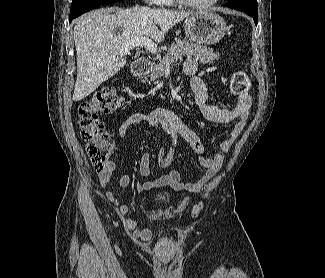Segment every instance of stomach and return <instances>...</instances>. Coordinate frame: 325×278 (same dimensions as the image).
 I'll list each match as a JSON object with an SVG mask.
<instances>
[{
  "label": "stomach",
  "instance_id": "0dacf381",
  "mask_svg": "<svg viewBox=\"0 0 325 278\" xmlns=\"http://www.w3.org/2000/svg\"><path fill=\"white\" fill-rule=\"evenodd\" d=\"M226 24L222 17L212 11H198L185 22L186 37L204 45L218 43L225 35Z\"/></svg>",
  "mask_w": 325,
  "mask_h": 278
}]
</instances>
